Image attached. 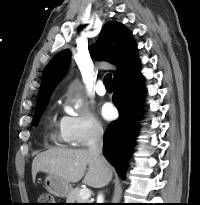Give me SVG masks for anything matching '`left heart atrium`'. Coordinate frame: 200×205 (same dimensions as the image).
I'll use <instances>...</instances> for the list:
<instances>
[{"instance_id": "1", "label": "left heart atrium", "mask_w": 200, "mask_h": 205, "mask_svg": "<svg viewBox=\"0 0 200 205\" xmlns=\"http://www.w3.org/2000/svg\"><path fill=\"white\" fill-rule=\"evenodd\" d=\"M101 115L106 120H111L115 116V108L110 103H104L101 107Z\"/></svg>"}]
</instances>
